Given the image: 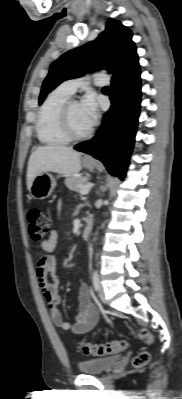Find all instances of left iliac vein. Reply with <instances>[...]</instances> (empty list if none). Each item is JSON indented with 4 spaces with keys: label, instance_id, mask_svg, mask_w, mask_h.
<instances>
[{
    "label": "left iliac vein",
    "instance_id": "obj_1",
    "mask_svg": "<svg viewBox=\"0 0 182 399\" xmlns=\"http://www.w3.org/2000/svg\"><path fill=\"white\" fill-rule=\"evenodd\" d=\"M98 295H99L100 300L103 303H107V300H106V297H105L104 288H103L102 285L99 286Z\"/></svg>",
    "mask_w": 182,
    "mask_h": 399
}]
</instances>
